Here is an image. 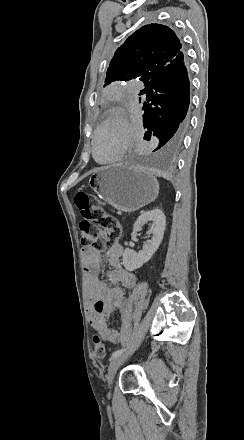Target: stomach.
Masks as SVG:
<instances>
[{
  "label": "stomach",
  "mask_w": 244,
  "mask_h": 440,
  "mask_svg": "<svg viewBox=\"0 0 244 440\" xmlns=\"http://www.w3.org/2000/svg\"><path fill=\"white\" fill-rule=\"evenodd\" d=\"M88 184L101 200L119 212H136L154 202L159 194L158 180L151 172L123 164L99 168L91 174Z\"/></svg>",
  "instance_id": "0dacf381"
}]
</instances>
